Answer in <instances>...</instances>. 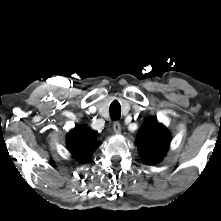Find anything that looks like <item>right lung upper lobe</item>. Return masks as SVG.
Segmentation results:
<instances>
[{"mask_svg": "<svg viewBox=\"0 0 221 221\" xmlns=\"http://www.w3.org/2000/svg\"><path fill=\"white\" fill-rule=\"evenodd\" d=\"M96 133L84 127L76 126L67 137L69 151L81 162L87 161L97 144Z\"/></svg>", "mask_w": 221, "mask_h": 221, "instance_id": "cb5924a9", "label": "right lung upper lobe"}]
</instances>
